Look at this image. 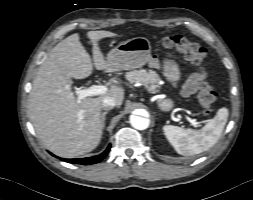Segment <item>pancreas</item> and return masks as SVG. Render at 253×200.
I'll use <instances>...</instances> for the list:
<instances>
[{"mask_svg": "<svg viewBox=\"0 0 253 200\" xmlns=\"http://www.w3.org/2000/svg\"><path fill=\"white\" fill-rule=\"evenodd\" d=\"M126 79L130 83H143L150 93H157L160 88L158 85L159 75L153 70L148 72L145 69L130 71L126 73Z\"/></svg>", "mask_w": 253, "mask_h": 200, "instance_id": "cf45deb5", "label": "pancreas"}]
</instances>
